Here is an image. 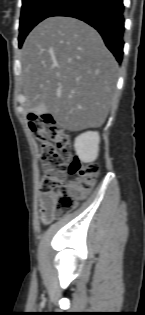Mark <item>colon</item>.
Wrapping results in <instances>:
<instances>
[{"mask_svg":"<svg viewBox=\"0 0 145 315\" xmlns=\"http://www.w3.org/2000/svg\"><path fill=\"white\" fill-rule=\"evenodd\" d=\"M28 124L40 144L43 167L40 191L55 195L56 214L67 213L94 186L99 166L85 165L73 155L70 136L52 116L30 115ZM67 173L74 175V179L68 183L65 179Z\"/></svg>","mask_w":145,"mask_h":315,"instance_id":"colon-1","label":"colon"}]
</instances>
